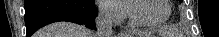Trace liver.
<instances>
[{
	"label": "liver",
	"instance_id": "obj_1",
	"mask_svg": "<svg viewBox=\"0 0 219 37\" xmlns=\"http://www.w3.org/2000/svg\"><path fill=\"white\" fill-rule=\"evenodd\" d=\"M36 37H96L84 26L68 22H59L40 29Z\"/></svg>",
	"mask_w": 219,
	"mask_h": 37
}]
</instances>
